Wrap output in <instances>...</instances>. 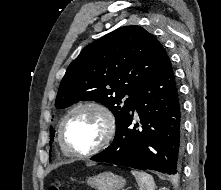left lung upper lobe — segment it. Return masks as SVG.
I'll list each match as a JSON object with an SVG mask.
<instances>
[{
    "mask_svg": "<svg viewBox=\"0 0 221 190\" xmlns=\"http://www.w3.org/2000/svg\"><path fill=\"white\" fill-rule=\"evenodd\" d=\"M166 57L160 42L142 27L116 29L87 45L70 63L55 106L66 108L80 100L100 102L114 114L117 125ZM50 137L53 140L51 132Z\"/></svg>",
    "mask_w": 221,
    "mask_h": 190,
    "instance_id": "left-lung-upper-lobe-1",
    "label": "left lung upper lobe"
}]
</instances>
